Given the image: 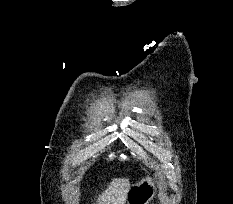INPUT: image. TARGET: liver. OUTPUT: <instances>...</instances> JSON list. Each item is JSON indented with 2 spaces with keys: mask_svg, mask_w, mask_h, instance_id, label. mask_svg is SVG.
Returning a JSON list of instances; mask_svg holds the SVG:
<instances>
[{
  "mask_svg": "<svg viewBox=\"0 0 233 204\" xmlns=\"http://www.w3.org/2000/svg\"><path fill=\"white\" fill-rule=\"evenodd\" d=\"M130 182L126 178L112 179L107 189L99 196L98 204H125Z\"/></svg>",
  "mask_w": 233,
  "mask_h": 204,
  "instance_id": "6515ba94",
  "label": "liver"
}]
</instances>
